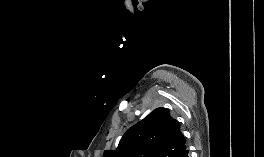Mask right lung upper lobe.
<instances>
[{
  "label": "right lung upper lobe",
  "instance_id": "right-lung-upper-lobe-1",
  "mask_svg": "<svg viewBox=\"0 0 264 157\" xmlns=\"http://www.w3.org/2000/svg\"><path fill=\"white\" fill-rule=\"evenodd\" d=\"M179 122L166 108H157L128 129L116 150L104 157H179L186 150Z\"/></svg>",
  "mask_w": 264,
  "mask_h": 157
}]
</instances>
